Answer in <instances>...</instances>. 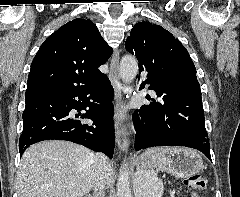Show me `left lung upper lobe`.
<instances>
[{
    "instance_id": "obj_1",
    "label": "left lung upper lobe",
    "mask_w": 240,
    "mask_h": 197,
    "mask_svg": "<svg viewBox=\"0 0 240 197\" xmlns=\"http://www.w3.org/2000/svg\"><path fill=\"white\" fill-rule=\"evenodd\" d=\"M125 47L129 53L136 55L139 71L148 72L150 89L158 97L184 90L201 92L196 68L188 51L163 27L149 22L135 24Z\"/></svg>"
}]
</instances>
